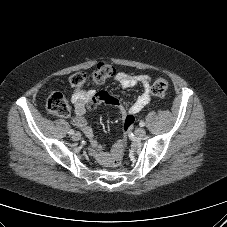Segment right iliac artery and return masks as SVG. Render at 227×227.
Segmentation results:
<instances>
[{
    "instance_id": "1",
    "label": "right iliac artery",
    "mask_w": 227,
    "mask_h": 227,
    "mask_svg": "<svg viewBox=\"0 0 227 227\" xmlns=\"http://www.w3.org/2000/svg\"><path fill=\"white\" fill-rule=\"evenodd\" d=\"M74 132H75V131H74L73 129H71V130H69L68 134H69V135H73Z\"/></svg>"
}]
</instances>
